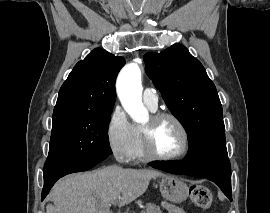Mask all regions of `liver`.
Masks as SVG:
<instances>
[{
	"label": "liver",
	"instance_id": "obj_1",
	"mask_svg": "<svg viewBox=\"0 0 270 213\" xmlns=\"http://www.w3.org/2000/svg\"><path fill=\"white\" fill-rule=\"evenodd\" d=\"M161 175L153 169L116 166L72 174L54 185L50 194L53 205L46 206V213H111L113 200L119 198V206L130 204L146 192L152 178Z\"/></svg>",
	"mask_w": 270,
	"mask_h": 213
}]
</instances>
